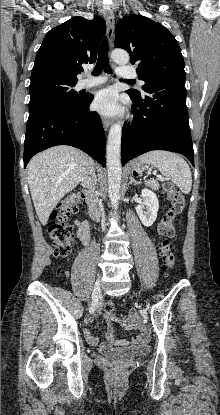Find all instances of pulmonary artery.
I'll use <instances>...</instances> for the list:
<instances>
[{
    "label": "pulmonary artery",
    "mask_w": 220,
    "mask_h": 415,
    "mask_svg": "<svg viewBox=\"0 0 220 415\" xmlns=\"http://www.w3.org/2000/svg\"><path fill=\"white\" fill-rule=\"evenodd\" d=\"M116 74L121 78H135L136 73L133 69L127 66H120L116 69ZM107 77L105 76H95V77H88L81 80L78 84V87L83 88H90L97 85H100L106 81ZM140 85H143L144 82L142 80L139 81Z\"/></svg>",
    "instance_id": "1"
}]
</instances>
